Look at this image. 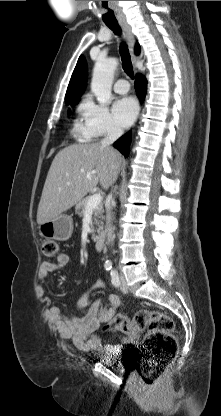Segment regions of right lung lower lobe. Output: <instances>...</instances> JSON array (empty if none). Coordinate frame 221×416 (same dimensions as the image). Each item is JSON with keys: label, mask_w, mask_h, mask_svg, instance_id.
<instances>
[{"label": "right lung lower lobe", "mask_w": 221, "mask_h": 416, "mask_svg": "<svg viewBox=\"0 0 221 416\" xmlns=\"http://www.w3.org/2000/svg\"><path fill=\"white\" fill-rule=\"evenodd\" d=\"M135 89H136L137 96L142 102L145 98L146 89H147V82L143 76L141 75L137 76L136 81H135ZM130 140H131V134L129 132L114 143V147L117 148L125 157H127L129 153Z\"/></svg>", "instance_id": "obj_1"}]
</instances>
